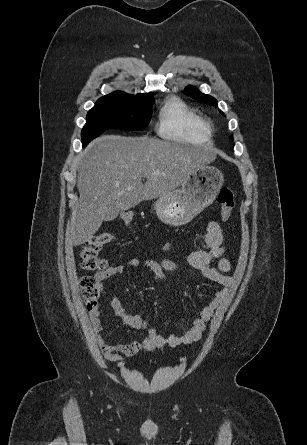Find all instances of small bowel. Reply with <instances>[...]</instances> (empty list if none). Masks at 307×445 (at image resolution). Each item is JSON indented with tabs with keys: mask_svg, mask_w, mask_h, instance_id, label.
Returning a JSON list of instances; mask_svg holds the SVG:
<instances>
[{
	"mask_svg": "<svg viewBox=\"0 0 307 445\" xmlns=\"http://www.w3.org/2000/svg\"><path fill=\"white\" fill-rule=\"evenodd\" d=\"M227 252L223 230L220 224L212 220L207 226V233L204 239L202 249L192 252L188 256L189 265L199 271L207 280L221 286L213 290L210 301L200 311L191 327L182 335H162L157 328L150 327L147 320L141 315L131 314L125 311L120 300L113 298L110 305L115 313L125 324L134 329L142 330L147 333L143 341H132L130 343L111 344L102 335L100 311L94 308L90 312V320L93 326L97 343L103 356L113 362H121L126 357L137 354L141 349L152 351L161 347H178L191 344L198 341L205 329L206 323L213 316L214 311L219 307L224 299L231 278L226 273L232 270V263L224 255ZM127 266L132 268L147 267L153 275L160 279L163 272L179 271L178 265L168 259L155 260L150 258L139 259L130 258ZM125 272L123 265H114L97 272L94 279L98 283L100 291L103 290V284L110 278L121 276Z\"/></svg>",
	"mask_w": 307,
	"mask_h": 445,
	"instance_id": "c3829d8e",
	"label": "small bowel"
}]
</instances>
